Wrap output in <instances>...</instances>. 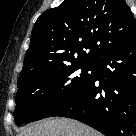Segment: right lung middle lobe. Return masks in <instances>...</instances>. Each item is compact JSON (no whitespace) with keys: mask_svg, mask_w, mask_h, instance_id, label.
<instances>
[{"mask_svg":"<svg viewBox=\"0 0 136 136\" xmlns=\"http://www.w3.org/2000/svg\"><path fill=\"white\" fill-rule=\"evenodd\" d=\"M93 63L53 66L18 82L14 120L17 125L47 118L80 93L93 77Z\"/></svg>","mask_w":136,"mask_h":136,"instance_id":"dd1d6c3e","label":"right lung middle lobe"}]
</instances>
